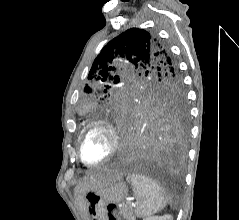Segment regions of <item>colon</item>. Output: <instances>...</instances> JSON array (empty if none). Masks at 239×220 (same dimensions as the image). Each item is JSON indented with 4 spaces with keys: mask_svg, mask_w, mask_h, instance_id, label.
<instances>
[{
    "mask_svg": "<svg viewBox=\"0 0 239 220\" xmlns=\"http://www.w3.org/2000/svg\"><path fill=\"white\" fill-rule=\"evenodd\" d=\"M114 207H115V205H109V207H108L109 208V214H108L109 220H118L113 212Z\"/></svg>",
    "mask_w": 239,
    "mask_h": 220,
    "instance_id": "obj_1",
    "label": "colon"
}]
</instances>
